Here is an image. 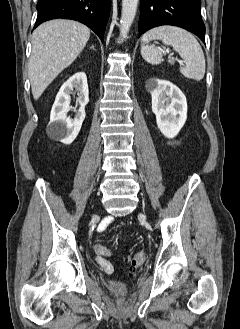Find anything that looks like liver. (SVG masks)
<instances>
[{
  "label": "liver",
  "instance_id": "6515ba94",
  "mask_svg": "<svg viewBox=\"0 0 240 329\" xmlns=\"http://www.w3.org/2000/svg\"><path fill=\"white\" fill-rule=\"evenodd\" d=\"M90 37L85 25L72 20H51L32 35L28 69L34 99L82 52Z\"/></svg>",
  "mask_w": 240,
  "mask_h": 329
}]
</instances>
